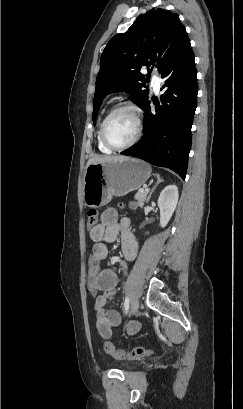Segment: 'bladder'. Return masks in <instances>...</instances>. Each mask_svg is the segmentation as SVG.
Masks as SVG:
<instances>
[{
    "instance_id": "31cf9c89",
    "label": "bladder",
    "mask_w": 243,
    "mask_h": 409,
    "mask_svg": "<svg viewBox=\"0 0 243 409\" xmlns=\"http://www.w3.org/2000/svg\"><path fill=\"white\" fill-rule=\"evenodd\" d=\"M125 369L129 370V369H131V366H125Z\"/></svg>"
}]
</instances>
